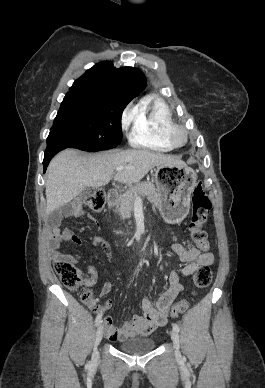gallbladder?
Wrapping results in <instances>:
<instances>
[{
	"instance_id": "obj_1",
	"label": "gallbladder",
	"mask_w": 265,
	"mask_h": 388,
	"mask_svg": "<svg viewBox=\"0 0 265 388\" xmlns=\"http://www.w3.org/2000/svg\"><path fill=\"white\" fill-rule=\"evenodd\" d=\"M90 194V188H85L84 192H82V194H79V198H83V200H85V198H88Z\"/></svg>"
}]
</instances>
